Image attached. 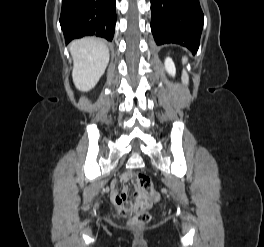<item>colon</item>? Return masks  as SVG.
<instances>
[{"instance_id": "colon-1", "label": "colon", "mask_w": 264, "mask_h": 247, "mask_svg": "<svg viewBox=\"0 0 264 247\" xmlns=\"http://www.w3.org/2000/svg\"><path fill=\"white\" fill-rule=\"evenodd\" d=\"M133 185L138 193L142 197H136L133 201H127V199L117 202V207L121 214L129 216V222L133 226H142L149 222L150 213L145 208L146 199L144 196H151L154 199L158 198V194L155 192L151 178L145 173H137L133 176Z\"/></svg>"}]
</instances>
